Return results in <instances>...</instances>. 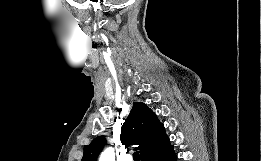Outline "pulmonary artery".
Returning a JSON list of instances; mask_svg holds the SVG:
<instances>
[{
    "instance_id": "obj_1",
    "label": "pulmonary artery",
    "mask_w": 261,
    "mask_h": 161,
    "mask_svg": "<svg viewBox=\"0 0 261 161\" xmlns=\"http://www.w3.org/2000/svg\"><path fill=\"white\" fill-rule=\"evenodd\" d=\"M125 161H132V157L131 156H126V158H125Z\"/></svg>"
}]
</instances>
